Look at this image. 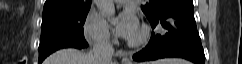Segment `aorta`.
Returning a JSON list of instances; mask_svg holds the SVG:
<instances>
[{"label":"aorta","mask_w":242,"mask_h":64,"mask_svg":"<svg viewBox=\"0 0 242 64\" xmlns=\"http://www.w3.org/2000/svg\"><path fill=\"white\" fill-rule=\"evenodd\" d=\"M96 6L100 13L105 16L109 22L114 23L116 20L115 15V6L113 0H95Z\"/></svg>","instance_id":"762f6f07"}]
</instances>
